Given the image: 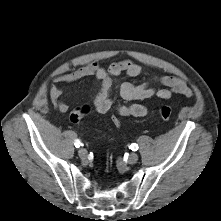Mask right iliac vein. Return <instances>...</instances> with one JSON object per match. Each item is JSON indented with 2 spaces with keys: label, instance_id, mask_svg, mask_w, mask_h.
Returning a JSON list of instances; mask_svg holds the SVG:
<instances>
[{
  "label": "right iliac vein",
  "instance_id": "obj_1",
  "mask_svg": "<svg viewBox=\"0 0 221 221\" xmlns=\"http://www.w3.org/2000/svg\"><path fill=\"white\" fill-rule=\"evenodd\" d=\"M78 155L81 159H86L87 158V151L83 148L79 149Z\"/></svg>",
  "mask_w": 221,
  "mask_h": 221
}]
</instances>
